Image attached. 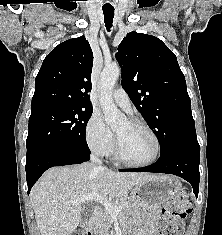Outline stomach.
<instances>
[{"label": "stomach", "instance_id": "obj_1", "mask_svg": "<svg viewBox=\"0 0 222 235\" xmlns=\"http://www.w3.org/2000/svg\"><path fill=\"white\" fill-rule=\"evenodd\" d=\"M181 189V184L173 176H156L131 190L130 199L135 209L162 204L174 197Z\"/></svg>", "mask_w": 222, "mask_h": 235}]
</instances>
